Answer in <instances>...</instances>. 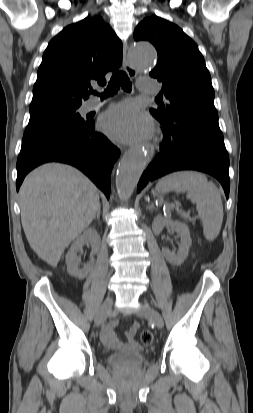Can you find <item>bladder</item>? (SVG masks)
Instances as JSON below:
<instances>
[{"mask_svg": "<svg viewBox=\"0 0 253 413\" xmlns=\"http://www.w3.org/2000/svg\"><path fill=\"white\" fill-rule=\"evenodd\" d=\"M146 361V356L138 347L115 352L107 357V362L115 368H136L141 366Z\"/></svg>", "mask_w": 253, "mask_h": 413, "instance_id": "31cf9c89", "label": "bladder"}]
</instances>
